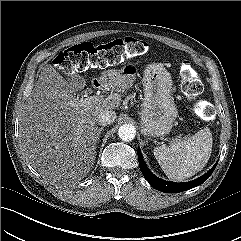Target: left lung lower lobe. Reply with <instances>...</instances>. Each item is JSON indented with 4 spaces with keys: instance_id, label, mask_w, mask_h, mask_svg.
I'll return each instance as SVG.
<instances>
[{
    "instance_id": "1",
    "label": "left lung lower lobe",
    "mask_w": 241,
    "mask_h": 241,
    "mask_svg": "<svg viewBox=\"0 0 241 241\" xmlns=\"http://www.w3.org/2000/svg\"><path fill=\"white\" fill-rule=\"evenodd\" d=\"M137 153H138L139 166H140L141 172L143 173L145 179L155 189H157L161 192H166V193L182 192V191L192 189L193 187L199 186L200 184L205 182L210 177V175L213 173L214 169L217 166V163H216L207 173H205L203 176H201L191 182L174 183V182H168V181L161 180V179L157 178L154 174H152V172L146 166L140 150H138Z\"/></svg>"
}]
</instances>
